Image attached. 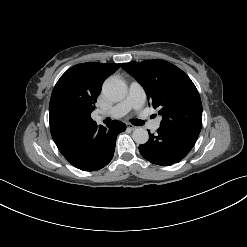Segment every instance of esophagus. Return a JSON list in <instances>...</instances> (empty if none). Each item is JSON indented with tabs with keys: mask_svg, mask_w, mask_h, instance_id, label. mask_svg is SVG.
Wrapping results in <instances>:
<instances>
[{
	"mask_svg": "<svg viewBox=\"0 0 247 247\" xmlns=\"http://www.w3.org/2000/svg\"><path fill=\"white\" fill-rule=\"evenodd\" d=\"M127 128H129L130 130H135L137 127L130 123H127Z\"/></svg>",
	"mask_w": 247,
	"mask_h": 247,
	"instance_id": "obj_1",
	"label": "esophagus"
}]
</instances>
